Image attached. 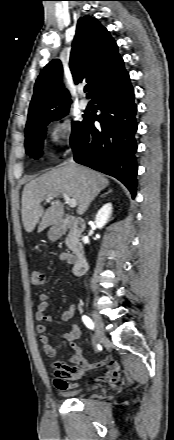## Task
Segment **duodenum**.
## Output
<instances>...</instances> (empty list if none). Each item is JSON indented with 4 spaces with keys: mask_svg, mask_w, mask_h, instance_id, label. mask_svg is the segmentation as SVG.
Returning a JSON list of instances; mask_svg holds the SVG:
<instances>
[{
    "mask_svg": "<svg viewBox=\"0 0 174 440\" xmlns=\"http://www.w3.org/2000/svg\"><path fill=\"white\" fill-rule=\"evenodd\" d=\"M85 229V223L82 219L68 217L61 220L54 228V232L58 236L64 235L67 231H71L74 236L81 234ZM73 254L75 256L74 261V273L77 276H82L87 271V263L85 260L84 248L80 243H75L73 246Z\"/></svg>",
    "mask_w": 174,
    "mask_h": 440,
    "instance_id": "410a0bca",
    "label": "duodenum"
}]
</instances>
